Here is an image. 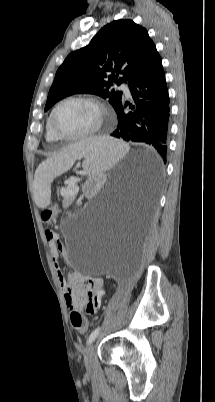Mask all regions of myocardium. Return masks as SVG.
I'll list each match as a JSON object with an SVG mask.
<instances>
[{
	"mask_svg": "<svg viewBox=\"0 0 215 402\" xmlns=\"http://www.w3.org/2000/svg\"><path fill=\"white\" fill-rule=\"evenodd\" d=\"M71 101H82V102H87L92 105H94L98 111V120L96 125L89 131L79 134V135H65L62 134L61 132L58 131V129L55 126V114L57 110L65 103L71 102ZM108 117V109L105 106V104L99 100L98 98L94 96H89V95H73V96H68L63 99H61L52 109L50 116H49V125L52 133L59 139V140H64V141H80V140H86L89 138L94 137L97 135L103 125L105 120Z\"/></svg>",
	"mask_w": 215,
	"mask_h": 402,
	"instance_id": "1",
	"label": "myocardium"
}]
</instances>
